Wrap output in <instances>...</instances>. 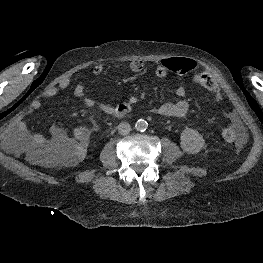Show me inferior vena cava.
Masks as SVG:
<instances>
[{
    "label": "inferior vena cava",
    "instance_id": "602c4592",
    "mask_svg": "<svg viewBox=\"0 0 263 263\" xmlns=\"http://www.w3.org/2000/svg\"><path fill=\"white\" fill-rule=\"evenodd\" d=\"M131 131V126L127 122H122L118 125V132L121 135H127Z\"/></svg>",
    "mask_w": 263,
    "mask_h": 263
}]
</instances>
